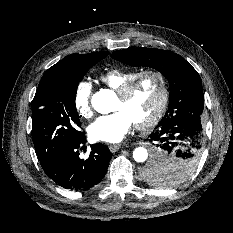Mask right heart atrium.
Instances as JSON below:
<instances>
[{
	"label": "right heart atrium",
	"mask_w": 233,
	"mask_h": 233,
	"mask_svg": "<svg viewBox=\"0 0 233 233\" xmlns=\"http://www.w3.org/2000/svg\"><path fill=\"white\" fill-rule=\"evenodd\" d=\"M91 95V83L85 80L80 81L74 91L73 104L77 113L83 118H89L92 115Z\"/></svg>",
	"instance_id": "obj_1"
}]
</instances>
